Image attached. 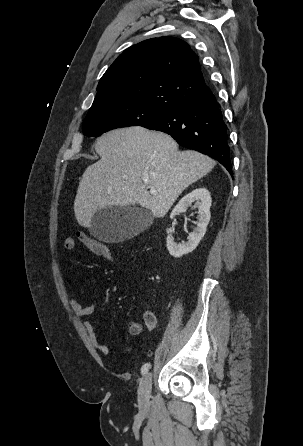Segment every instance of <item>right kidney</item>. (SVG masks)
Listing matches in <instances>:
<instances>
[{
  "mask_svg": "<svg viewBox=\"0 0 303 446\" xmlns=\"http://www.w3.org/2000/svg\"><path fill=\"white\" fill-rule=\"evenodd\" d=\"M193 202H195L193 207L198 208V225L197 228L189 234L188 241L184 244H177L169 235V230H167V249L170 255L175 258L182 257L183 255L192 252L198 246L205 235L207 225L210 221V207L212 200L210 192L206 188H197L185 195L173 209L170 215L171 219L179 213L186 212L187 208L191 207Z\"/></svg>",
  "mask_w": 303,
  "mask_h": 446,
  "instance_id": "obj_1",
  "label": "right kidney"
}]
</instances>
